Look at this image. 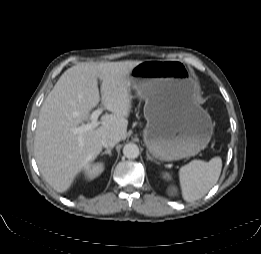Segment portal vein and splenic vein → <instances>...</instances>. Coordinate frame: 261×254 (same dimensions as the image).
<instances>
[{"mask_svg":"<svg viewBox=\"0 0 261 254\" xmlns=\"http://www.w3.org/2000/svg\"><path fill=\"white\" fill-rule=\"evenodd\" d=\"M103 112V108H98L97 110L93 111L90 116V123L83 124L77 128H74V132L82 134L85 131H88L92 128H96L99 125L98 117Z\"/></svg>","mask_w":261,"mask_h":254,"instance_id":"portal-vein-and-splenic-vein-1","label":"portal vein and splenic vein"}]
</instances>
